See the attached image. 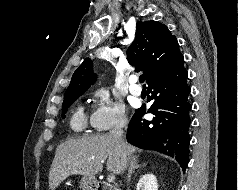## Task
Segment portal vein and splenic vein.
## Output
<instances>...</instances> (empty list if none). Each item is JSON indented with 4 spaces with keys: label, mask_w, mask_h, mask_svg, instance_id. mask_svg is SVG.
<instances>
[{
    "label": "portal vein and splenic vein",
    "mask_w": 238,
    "mask_h": 190,
    "mask_svg": "<svg viewBox=\"0 0 238 190\" xmlns=\"http://www.w3.org/2000/svg\"><path fill=\"white\" fill-rule=\"evenodd\" d=\"M114 179H115V175L114 174L108 175V182H112Z\"/></svg>",
    "instance_id": "obj_1"
}]
</instances>
